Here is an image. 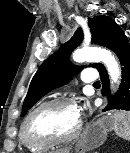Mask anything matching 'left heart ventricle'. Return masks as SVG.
Masks as SVG:
<instances>
[{"instance_id": "obj_1", "label": "left heart ventricle", "mask_w": 130, "mask_h": 153, "mask_svg": "<svg viewBox=\"0 0 130 153\" xmlns=\"http://www.w3.org/2000/svg\"><path fill=\"white\" fill-rule=\"evenodd\" d=\"M79 121L73 106L57 105L39 111L29 124V132L37 137H66L76 128Z\"/></svg>"}]
</instances>
